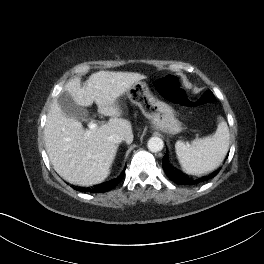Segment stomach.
I'll list each match as a JSON object with an SVG mask.
<instances>
[{"label":"stomach","mask_w":264,"mask_h":264,"mask_svg":"<svg viewBox=\"0 0 264 264\" xmlns=\"http://www.w3.org/2000/svg\"><path fill=\"white\" fill-rule=\"evenodd\" d=\"M126 93L131 102L151 121L153 129L171 135L182 131V124L176 118L174 109L155 98L145 82H136Z\"/></svg>","instance_id":"obj_1"}]
</instances>
